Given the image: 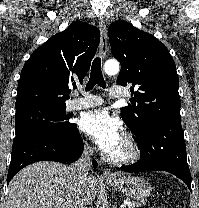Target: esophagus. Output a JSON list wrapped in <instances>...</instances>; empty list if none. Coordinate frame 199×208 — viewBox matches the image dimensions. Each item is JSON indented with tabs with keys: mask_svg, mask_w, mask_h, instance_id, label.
Returning <instances> with one entry per match:
<instances>
[{
	"mask_svg": "<svg viewBox=\"0 0 199 208\" xmlns=\"http://www.w3.org/2000/svg\"><path fill=\"white\" fill-rule=\"evenodd\" d=\"M98 27L100 30L101 41H100V55L102 59L106 57L108 49V40H107V28L104 19L101 17L98 22ZM103 178L114 179L116 176L111 173L108 169H105L102 173Z\"/></svg>",
	"mask_w": 199,
	"mask_h": 208,
	"instance_id": "1",
	"label": "esophagus"
}]
</instances>
